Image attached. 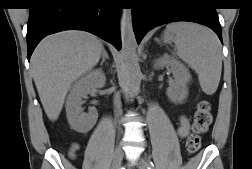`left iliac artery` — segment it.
Masks as SVG:
<instances>
[{
    "mask_svg": "<svg viewBox=\"0 0 252 169\" xmlns=\"http://www.w3.org/2000/svg\"><path fill=\"white\" fill-rule=\"evenodd\" d=\"M145 160H146V164L148 166L147 168L148 169H154L153 163L151 162V160L147 156H145Z\"/></svg>",
    "mask_w": 252,
    "mask_h": 169,
    "instance_id": "left-iliac-artery-1",
    "label": "left iliac artery"
}]
</instances>
